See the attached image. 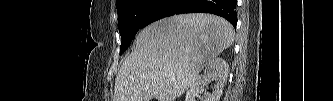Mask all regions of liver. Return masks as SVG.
<instances>
[{"label":"liver","mask_w":333,"mask_h":101,"mask_svg":"<svg viewBox=\"0 0 333 101\" xmlns=\"http://www.w3.org/2000/svg\"><path fill=\"white\" fill-rule=\"evenodd\" d=\"M234 35L228 21L205 13L152 23L139 33L119 70L113 101H175L205 66L232 45Z\"/></svg>","instance_id":"1"}]
</instances>
